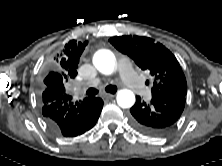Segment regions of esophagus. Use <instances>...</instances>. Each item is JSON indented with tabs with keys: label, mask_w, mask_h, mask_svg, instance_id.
<instances>
[{
	"label": "esophagus",
	"mask_w": 222,
	"mask_h": 166,
	"mask_svg": "<svg viewBox=\"0 0 222 166\" xmlns=\"http://www.w3.org/2000/svg\"><path fill=\"white\" fill-rule=\"evenodd\" d=\"M104 96L108 99H112L115 97V94L108 93V94H105Z\"/></svg>",
	"instance_id": "obj_1"
}]
</instances>
